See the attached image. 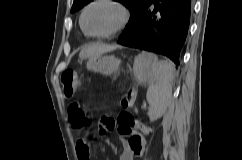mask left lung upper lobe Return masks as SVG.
I'll return each instance as SVG.
<instances>
[{
    "instance_id": "5c2ea615",
    "label": "left lung upper lobe",
    "mask_w": 242,
    "mask_h": 160,
    "mask_svg": "<svg viewBox=\"0 0 242 160\" xmlns=\"http://www.w3.org/2000/svg\"><path fill=\"white\" fill-rule=\"evenodd\" d=\"M91 1L93 0H74L73 6L71 8V12H75L81 9L83 6H85ZM116 1L124 4L131 13V18L125 27V31L123 32V33H126L130 29V26L135 21V19L139 16V14L145 7L146 2L148 0H116Z\"/></svg>"
}]
</instances>
